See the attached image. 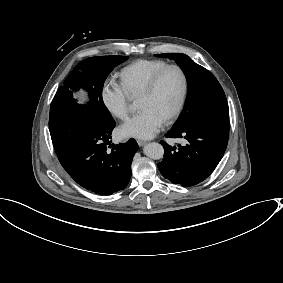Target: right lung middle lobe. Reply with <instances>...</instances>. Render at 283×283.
I'll return each mask as SVG.
<instances>
[{"label":"right lung middle lobe","mask_w":283,"mask_h":283,"mask_svg":"<svg viewBox=\"0 0 283 283\" xmlns=\"http://www.w3.org/2000/svg\"><path fill=\"white\" fill-rule=\"evenodd\" d=\"M126 56H97L80 62L64 81L50 106L49 130L57 156L69 152L80 141L83 134L99 128L113 118L104 105L102 89L104 82ZM83 89L89 102L78 104L73 92Z\"/></svg>","instance_id":"right-lung-middle-lobe-1"}]
</instances>
